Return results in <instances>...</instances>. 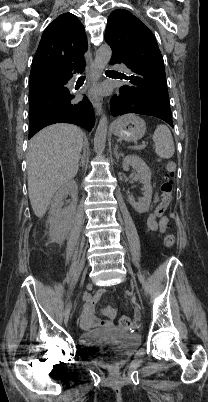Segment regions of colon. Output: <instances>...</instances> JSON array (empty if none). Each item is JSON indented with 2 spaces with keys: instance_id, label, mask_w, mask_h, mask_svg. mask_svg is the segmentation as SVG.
<instances>
[{
  "instance_id": "5ec220e1",
  "label": "colon",
  "mask_w": 208,
  "mask_h": 402,
  "mask_svg": "<svg viewBox=\"0 0 208 402\" xmlns=\"http://www.w3.org/2000/svg\"><path fill=\"white\" fill-rule=\"evenodd\" d=\"M165 178H169L176 170V163L172 160L166 161L164 166ZM172 193V183L167 179L163 182L161 186V197L158 203L155 205V215L160 216L163 214L165 209L168 207L171 200ZM176 242V237L174 234L168 232L164 235V244L167 247H172ZM119 325L121 327H127L130 324V317L127 314H122L118 319Z\"/></svg>"
}]
</instances>
